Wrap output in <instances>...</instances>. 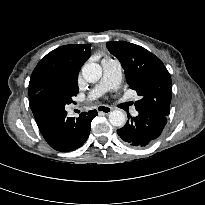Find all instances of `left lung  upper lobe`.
I'll return each instance as SVG.
<instances>
[{
    "mask_svg": "<svg viewBox=\"0 0 205 205\" xmlns=\"http://www.w3.org/2000/svg\"><path fill=\"white\" fill-rule=\"evenodd\" d=\"M106 46L121 62L129 88L142 97L135 102L136 110L168 116L172 85L162 61L145 48L126 41H112Z\"/></svg>",
    "mask_w": 205,
    "mask_h": 205,
    "instance_id": "1",
    "label": "left lung upper lobe"
}]
</instances>
